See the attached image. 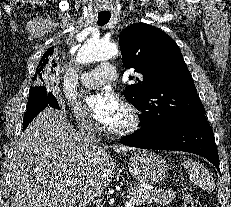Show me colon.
I'll return each instance as SVG.
<instances>
[{"mask_svg": "<svg viewBox=\"0 0 231 207\" xmlns=\"http://www.w3.org/2000/svg\"><path fill=\"white\" fill-rule=\"evenodd\" d=\"M184 207H202V206L197 199H195L191 195H186L184 198Z\"/></svg>", "mask_w": 231, "mask_h": 207, "instance_id": "5ec220e1", "label": "colon"}]
</instances>
